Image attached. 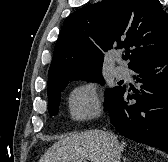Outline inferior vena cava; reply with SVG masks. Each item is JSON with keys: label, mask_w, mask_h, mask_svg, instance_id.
<instances>
[{"label": "inferior vena cava", "mask_w": 168, "mask_h": 162, "mask_svg": "<svg viewBox=\"0 0 168 162\" xmlns=\"http://www.w3.org/2000/svg\"><path fill=\"white\" fill-rule=\"evenodd\" d=\"M109 139H110L109 162H120L121 148L119 146L118 140L112 133H109Z\"/></svg>", "instance_id": "602c4592"}]
</instances>
